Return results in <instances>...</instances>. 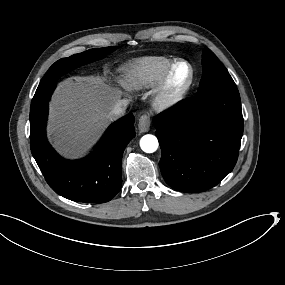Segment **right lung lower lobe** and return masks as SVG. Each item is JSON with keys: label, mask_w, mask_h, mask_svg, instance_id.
Here are the masks:
<instances>
[{"label": "right lung lower lobe", "mask_w": 285, "mask_h": 285, "mask_svg": "<svg viewBox=\"0 0 285 285\" xmlns=\"http://www.w3.org/2000/svg\"><path fill=\"white\" fill-rule=\"evenodd\" d=\"M56 85L37 89L30 108V147L45 180L60 196L84 203L110 201L121 189L125 147L135 137L134 116L109 127L94 151L70 161L59 156L46 137L48 103Z\"/></svg>", "instance_id": "98d812e1"}]
</instances>
